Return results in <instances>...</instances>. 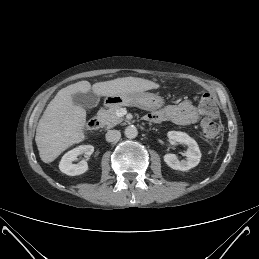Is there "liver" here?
<instances>
[{
	"instance_id": "obj_1",
	"label": "liver",
	"mask_w": 259,
	"mask_h": 259,
	"mask_svg": "<svg viewBox=\"0 0 259 259\" xmlns=\"http://www.w3.org/2000/svg\"><path fill=\"white\" fill-rule=\"evenodd\" d=\"M157 88L159 84L150 80L123 77L98 82L92 87L88 81H80L61 89L48 104L37 125L35 141L41 160L50 163L70 146L85 139L86 111L73 103V94L87 93L92 89L98 96H112Z\"/></svg>"
}]
</instances>
